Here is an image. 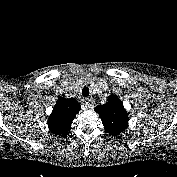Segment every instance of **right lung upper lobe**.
<instances>
[{"mask_svg":"<svg viewBox=\"0 0 177 177\" xmlns=\"http://www.w3.org/2000/svg\"><path fill=\"white\" fill-rule=\"evenodd\" d=\"M80 109V103L74 98L59 97L48 119L50 131L57 136L65 137L69 133L71 123Z\"/></svg>","mask_w":177,"mask_h":177,"instance_id":"cb5924a9","label":"right lung upper lobe"}]
</instances>
